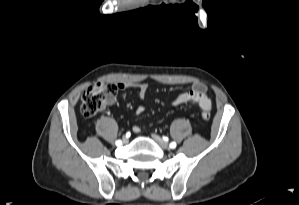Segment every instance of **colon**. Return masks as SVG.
I'll return each mask as SVG.
<instances>
[{
  "mask_svg": "<svg viewBox=\"0 0 299 205\" xmlns=\"http://www.w3.org/2000/svg\"><path fill=\"white\" fill-rule=\"evenodd\" d=\"M118 87L112 83H94L89 86L82 96L81 112L85 117H93L98 112L112 104L117 96ZM202 118L210 120L208 111L202 112Z\"/></svg>",
  "mask_w": 299,
  "mask_h": 205,
  "instance_id": "5ec220e1",
  "label": "colon"
}]
</instances>
